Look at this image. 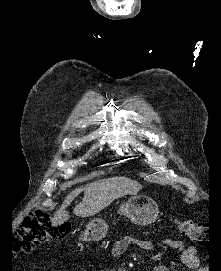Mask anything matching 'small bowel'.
Here are the masks:
<instances>
[{"instance_id":"obj_1","label":"small bowel","mask_w":221,"mask_h":271,"mask_svg":"<svg viewBox=\"0 0 221 271\" xmlns=\"http://www.w3.org/2000/svg\"><path fill=\"white\" fill-rule=\"evenodd\" d=\"M164 244L169 245L181 254L182 263L189 269H196L199 266L197 257V250L193 246H187L182 240L179 239H164ZM129 246H134L143 251H152L154 244L148 239H138L126 236L116 241L112 247L111 254L113 257H119L126 252ZM111 271H126L124 268H114ZM153 271H172L166 265H156Z\"/></svg>"}]
</instances>
